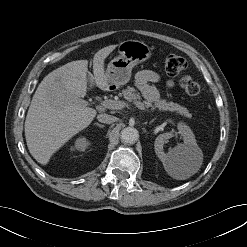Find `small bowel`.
Segmentation results:
<instances>
[{"label":"small bowel","mask_w":247,"mask_h":247,"mask_svg":"<svg viewBox=\"0 0 247 247\" xmlns=\"http://www.w3.org/2000/svg\"><path fill=\"white\" fill-rule=\"evenodd\" d=\"M160 75L153 70H141L135 76V84L148 102H155L159 97L158 90L151 83L158 82ZM174 86V81L169 80L167 87Z\"/></svg>","instance_id":"small-bowel-1"}]
</instances>
